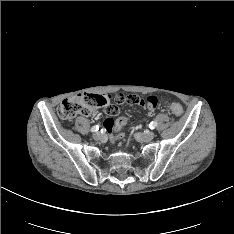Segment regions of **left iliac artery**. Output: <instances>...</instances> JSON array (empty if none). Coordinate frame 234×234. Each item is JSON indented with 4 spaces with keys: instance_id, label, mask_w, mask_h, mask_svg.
I'll return each mask as SVG.
<instances>
[{
    "instance_id": "left-iliac-artery-1",
    "label": "left iliac artery",
    "mask_w": 234,
    "mask_h": 234,
    "mask_svg": "<svg viewBox=\"0 0 234 234\" xmlns=\"http://www.w3.org/2000/svg\"><path fill=\"white\" fill-rule=\"evenodd\" d=\"M149 127L150 129H155L157 127V122L156 121H152L150 124H149Z\"/></svg>"
}]
</instances>
